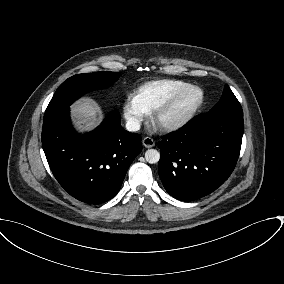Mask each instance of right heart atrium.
<instances>
[{
	"mask_svg": "<svg viewBox=\"0 0 284 284\" xmlns=\"http://www.w3.org/2000/svg\"><path fill=\"white\" fill-rule=\"evenodd\" d=\"M123 117L130 130L139 128L142 121L147 116V112L142 108L135 96L129 95L123 104Z\"/></svg>",
	"mask_w": 284,
	"mask_h": 284,
	"instance_id": "obj_1",
	"label": "right heart atrium"
}]
</instances>
